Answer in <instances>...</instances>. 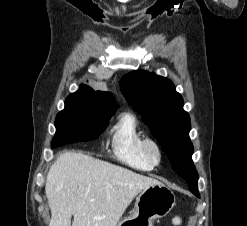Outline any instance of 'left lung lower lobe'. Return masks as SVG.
Instances as JSON below:
<instances>
[{
	"mask_svg": "<svg viewBox=\"0 0 247 226\" xmlns=\"http://www.w3.org/2000/svg\"><path fill=\"white\" fill-rule=\"evenodd\" d=\"M177 173L187 181L191 192L195 196L200 197L198 192V173L195 167L193 166L190 169L183 170L182 172Z\"/></svg>",
	"mask_w": 247,
	"mask_h": 226,
	"instance_id": "1",
	"label": "left lung lower lobe"
}]
</instances>
